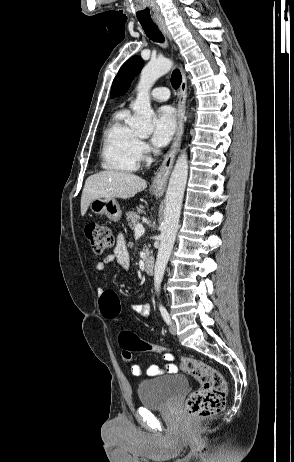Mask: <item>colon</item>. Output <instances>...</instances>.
Here are the masks:
<instances>
[{
  "label": "colon",
  "instance_id": "1",
  "mask_svg": "<svg viewBox=\"0 0 294 462\" xmlns=\"http://www.w3.org/2000/svg\"><path fill=\"white\" fill-rule=\"evenodd\" d=\"M84 230L96 254H102L114 244V236L107 226L89 222ZM100 309L106 319L118 322L121 311L118 295L112 290H104L100 296ZM118 340L126 362L131 360L133 352L162 353L160 346L144 341L129 331H121ZM180 365L200 384V387L192 392L185 402L187 415L191 418H201L220 413L224 409L227 392L226 381L222 374L209 364L195 358L183 357L180 359Z\"/></svg>",
  "mask_w": 294,
  "mask_h": 462
}]
</instances>
